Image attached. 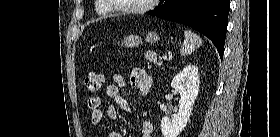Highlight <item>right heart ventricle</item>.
I'll list each match as a JSON object with an SVG mask.
<instances>
[{
    "label": "right heart ventricle",
    "mask_w": 280,
    "mask_h": 137,
    "mask_svg": "<svg viewBox=\"0 0 280 137\" xmlns=\"http://www.w3.org/2000/svg\"><path fill=\"white\" fill-rule=\"evenodd\" d=\"M95 12L100 16H105L110 13L109 7L106 5L104 0H96L95 1Z\"/></svg>",
    "instance_id": "e07e8e85"
}]
</instances>
